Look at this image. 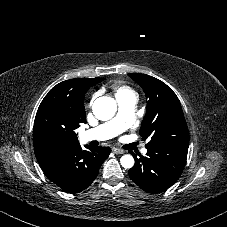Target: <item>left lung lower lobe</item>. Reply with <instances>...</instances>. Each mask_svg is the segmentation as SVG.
Listing matches in <instances>:
<instances>
[{"label":"left lung lower lobe","instance_id":"left-lung-lower-lobe-1","mask_svg":"<svg viewBox=\"0 0 227 227\" xmlns=\"http://www.w3.org/2000/svg\"><path fill=\"white\" fill-rule=\"evenodd\" d=\"M188 147L189 143L146 146V156L139 157L129 151L135 159L129 170L131 180L148 193L164 192L183 172Z\"/></svg>","mask_w":227,"mask_h":227}]
</instances>
